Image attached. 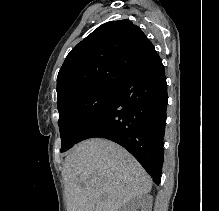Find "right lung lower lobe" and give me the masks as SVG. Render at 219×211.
Instances as JSON below:
<instances>
[{"instance_id":"98d812e1","label":"right lung lower lobe","mask_w":219,"mask_h":211,"mask_svg":"<svg viewBox=\"0 0 219 211\" xmlns=\"http://www.w3.org/2000/svg\"><path fill=\"white\" fill-rule=\"evenodd\" d=\"M167 84L160 57L126 76L77 143L106 138L126 148L156 184L163 166Z\"/></svg>"}]
</instances>
